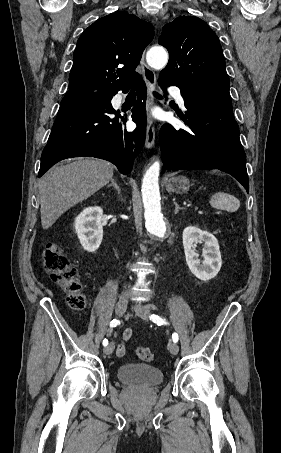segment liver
I'll return each mask as SVG.
<instances>
[{"label": "liver", "mask_w": 281, "mask_h": 453, "mask_svg": "<svg viewBox=\"0 0 281 453\" xmlns=\"http://www.w3.org/2000/svg\"><path fill=\"white\" fill-rule=\"evenodd\" d=\"M114 166L99 158H76L63 166H52L39 180L42 229L112 180Z\"/></svg>", "instance_id": "1"}]
</instances>
